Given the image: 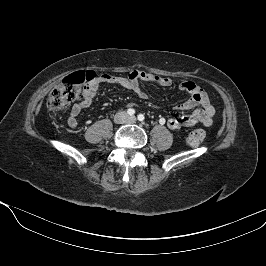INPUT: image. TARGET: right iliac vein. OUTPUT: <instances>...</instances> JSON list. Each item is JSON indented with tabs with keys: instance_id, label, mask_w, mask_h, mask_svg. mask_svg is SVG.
<instances>
[{
	"instance_id": "63e3f726",
	"label": "right iliac vein",
	"mask_w": 266,
	"mask_h": 266,
	"mask_svg": "<svg viewBox=\"0 0 266 266\" xmlns=\"http://www.w3.org/2000/svg\"><path fill=\"white\" fill-rule=\"evenodd\" d=\"M116 123H123L126 120V115L124 113H118L114 118Z\"/></svg>"
}]
</instances>
